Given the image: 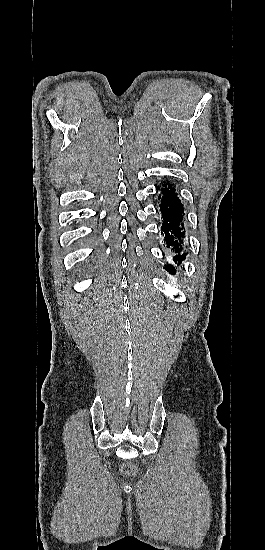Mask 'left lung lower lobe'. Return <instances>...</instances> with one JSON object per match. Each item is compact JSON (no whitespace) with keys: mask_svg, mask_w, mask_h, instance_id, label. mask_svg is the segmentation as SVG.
Wrapping results in <instances>:
<instances>
[{"mask_svg":"<svg viewBox=\"0 0 265 550\" xmlns=\"http://www.w3.org/2000/svg\"><path fill=\"white\" fill-rule=\"evenodd\" d=\"M162 195H159V200H161V212L163 216V224L161 234L164 235V240L168 247L173 246V251L176 252V255L173 257V261L180 265L182 261L186 258L188 253L183 255L180 254L182 243V219H183V205L181 204L180 199L177 197L175 188L170 183H164L163 188L161 189ZM170 274H176L175 268L173 266L167 265L164 267Z\"/></svg>","mask_w":265,"mask_h":550,"instance_id":"left-lung-lower-lobe-1","label":"left lung lower lobe"}]
</instances>
